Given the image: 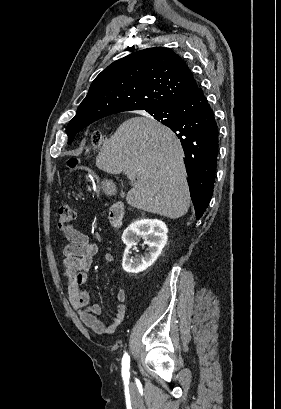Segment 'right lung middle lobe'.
Returning <instances> with one entry per match:
<instances>
[{"label":"right lung middle lobe","instance_id":"1","mask_svg":"<svg viewBox=\"0 0 281 409\" xmlns=\"http://www.w3.org/2000/svg\"><path fill=\"white\" fill-rule=\"evenodd\" d=\"M156 120L160 121L162 124H166L168 122L167 119L163 118H158ZM83 128L84 127H67V135L69 137L68 144H70L73 141L76 133L82 130Z\"/></svg>","mask_w":281,"mask_h":409}]
</instances>
